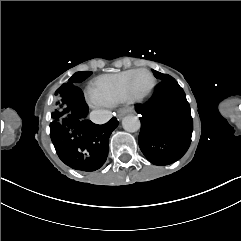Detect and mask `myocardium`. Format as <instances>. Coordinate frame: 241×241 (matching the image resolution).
Masks as SVG:
<instances>
[{
	"label": "myocardium",
	"instance_id": "myocardium-1",
	"mask_svg": "<svg viewBox=\"0 0 241 241\" xmlns=\"http://www.w3.org/2000/svg\"><path fill=\"white\" fill-rule=\"evenodd\" d=\"M143 71L148 72L151 76H152V85L148 87V90L145 92V95H143L141 98H137L135 100L136 104H139L140 102H144L147 99V96H149L151 94V91L153 89L156 88V83H157V76L155 75V72L150 69L149 67L143 66L142 69L136 70L135 72H133L131 75L128 76V78L126 79V84H128L129 82H131V80L133 78H135L136 76H139L140 74L143 73ZM126 93L130 94L127 89H126Z\"/></svg>",
	"mask_w": 241,
	"mask_h": 241
}]
</instances>
